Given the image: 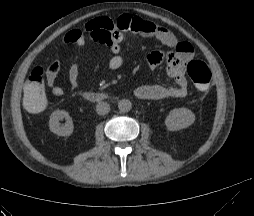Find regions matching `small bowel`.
Instances as JSON below:
<instances>
[{"mask_svg":"<svg viewBox=\"0 0 254 216\" xmlns=\"http://www.w3.org/2000/svg\"><path fill=\"white\" fill-rule=\"evenodd\" d=\"M89 30H103L110 34L109 50L112 54L108 65L111 70H118L123 65L121 56V42L123 34L132 32L143 37L154 38L161 42L171 51L163 53L160 51L151 52L147 56L148 70L164 65L168 76L176 83L174 87H166L158 84H144L138 86L134 95L143 100H161L166 98H182L187 95L188 83L185 77L186 63L193 54V46L187 42L179 40L173 32L154 22L138 17L123 16L117 22H112L107 18H96L86 24L84 29H74L68 32L63 42L65 44H77L84 46L87 43L85 33ZM58 69L48 67L46 71V82L51 94L60 97L64 94L62 86L56 83ZM68 81L72 88L79 86V67L77 62H73L68 69Z\"/></svg>","mask_w":254,"mask_h":216,"instance_id":"small-bowel-1","label":"small bowel"}]
</instances>
